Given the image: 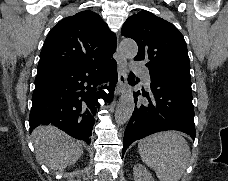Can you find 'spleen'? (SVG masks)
Masks as SVG:
<instances>
[{"instance_id": "1", "label": "spleen", "mask_w": 228, "mask_h": 181, "mask_svg": "<svg viewBox=\"0 0 228 181\" xmlns=\"http://www.w3.org/2000/svg\"><path fill=\"white\" fill-rule=\"evenodd\" d=\"M139 155L159 181H180L190 157L187 141L175 133H156L138 143Z\"/></svg>"}]
</instances>
